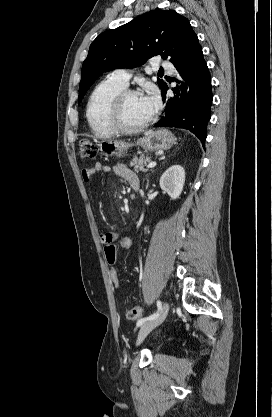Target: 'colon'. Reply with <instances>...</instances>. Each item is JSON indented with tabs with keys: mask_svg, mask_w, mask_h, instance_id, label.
<instances>
[{
	"mask_svg": "<svg viewBox=\"0 0 272 417\" xmlns=\"http://www.w3.org/2000/svg\"><path fill=\"white\" fill-rule=\"evenodd\" d=\"M79 153L81 157L93 159L97 155V148L88 139H83L79 143ZM131 246L130 238L126 236H118L105 245L104 253L107 263L110 266V278L115 288H119V274L116 267L117 255L120 252L128 250ZM141 308L135 306L126 312V317L129 320H135L141 315Z\"/></svg>",
	"mask_w": 272,
	"mask_h": 417,
	"instance_id": "obj_1",
	"label": "colon"
}]
</instances>
